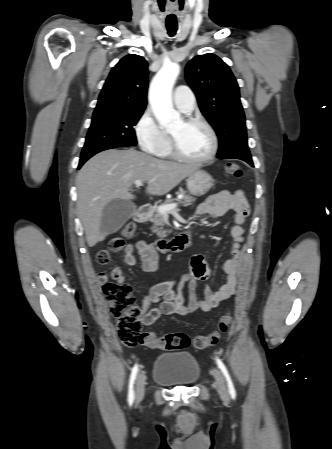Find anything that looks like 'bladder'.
<instances>
[{"mask_svg":"<svg viewBox=\"0 0 332 449\" xmlns=\"http://www.w3.org/2000/svg\"><path fill=\"white\" fill-rule=\"evenodd\" d=\"M199 361L190 352L160 354L154 363L152 377L164 386H188L200 377Z\"/></svg>","mask_w":332,"mask_h":449,"instance_id":"1","label":"bladder"}]
</instances>
